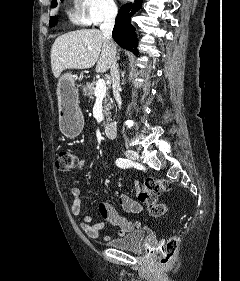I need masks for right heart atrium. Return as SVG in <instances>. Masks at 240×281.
I'll use <instances>...</instances> for the list:
<instances>
[{
	"mask_svg": "<svg viewBox=\"0 0 240 281\" xmlns=\"http://www.w3.org/2000/svg\"><path fill=\"white\" fill-rule=\"evenodd\" d=\"M85 11L90 24L99 25L115 18L118 6L115 0H85Z\"/></svg>",
	"mask_w": 240,
	"mask_h": 281,
	"instance_id": "1",
	"label": "right heart atrium"
}]
</instances>
